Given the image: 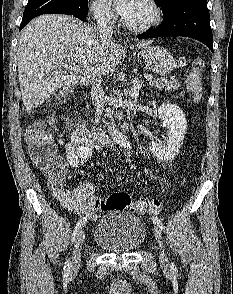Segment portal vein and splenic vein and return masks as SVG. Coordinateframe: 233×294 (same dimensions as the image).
I'll return each instance as SVG.
<instances>
[{
  "label": "portal vein and splenic vein",
  "instance_id": "1",
  "mask_svg": "<svg viewBox=\"0 0 233 294\" xmlns=\"http://www.w3.org/2000/svg\"><path fill=\"white\" fill-rule=\"evenodd\" d=\"M58 64H59V66L64 67L66 69H69V70H71L73 72H76V73H80L81 72V69L79 67L71 66V65H69L67 63H62V62H59ZM144 78L146 80H152L153 79V77L151 75H144Z\"/></svg>",
  "mask_w": 233,
  "mask_h": 294
}]
</instances>
